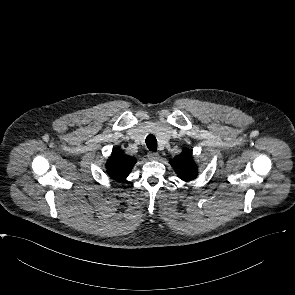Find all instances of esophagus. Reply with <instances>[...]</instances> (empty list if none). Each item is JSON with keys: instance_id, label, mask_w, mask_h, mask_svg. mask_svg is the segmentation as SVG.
Masks as SVG:
<instances>
[{"instance_id": "esophagus-1", "label": "esophagus", "mask_w": 295, "mask_h": 295, "mask_svg": "<svg viewBox=\"0 0 295 295\" xmlns=\"http://www.w3.org/2000/svg\"><path fill=\"white\" fill-rule=\"evenodd\" d=\"M159 154L157 153V152H149L148 154H147V158L149 159V160H152V161H154V160H157V159H159Z\"/></svg>"}]
</instances>
